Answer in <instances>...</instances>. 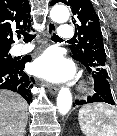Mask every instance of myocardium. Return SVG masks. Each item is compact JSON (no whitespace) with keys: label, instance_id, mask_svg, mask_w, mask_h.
Listing matches in <instances>:
<instances>
[{"label":"myocardium","instance_id":"1","mask_svg":"<svg viewBox=\"0 0 117 136\" xmlns=\"http://www.w3.org/2000/svg\"><path fill=\"white\" fill-rule=\"evenodd\" d=\"M87 89V87H86V85L83 83V84H81V86H80V90H82V91H84V90H86Z\"/></svg>","mask_w":117,"mask_h":136}]
</instances>
